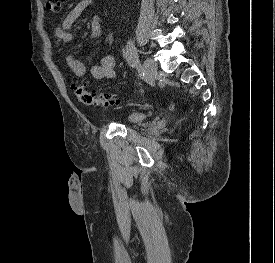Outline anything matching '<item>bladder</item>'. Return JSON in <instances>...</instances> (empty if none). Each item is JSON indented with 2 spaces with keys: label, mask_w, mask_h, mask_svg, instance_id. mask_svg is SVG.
<instances>
[{
  "label": "bladder",
  "mask_w": 275,
  "mask_h": 263,
  "mask_svg": "<svg viewBox=\"0 0 275 263\" xmlns=\"http://www.w3.org/2000/svg\"><path fill=\"white\" fill-rule=\"evenodd\" d=\"M147 118V114L143 112H132L128 116V122L130 124H138Z\"/></svg>",
  "instance_id": "bladder-1"
}]
</instances>
